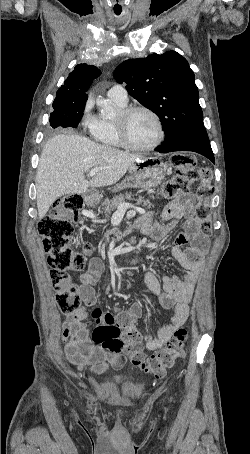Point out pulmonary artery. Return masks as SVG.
Segmentation results:
<instances>
[{
  "mask_svg": "<svg viewBox=\"0 0 250 454\" xmlns=\"http://www.w3.org/2000/svg\"><path fill=\"white\" fill-rule=\"evenodd\" d=\"M108 96L111 100H116L122 104H127L128 94L126 89L119 84L114 85L108 90Z\"/></svg>",
  "mask_w": 250,
  "mask_h": 454,
  "instance_id": "1",
  "label": "pulmonary artery"
}]
</instances>
